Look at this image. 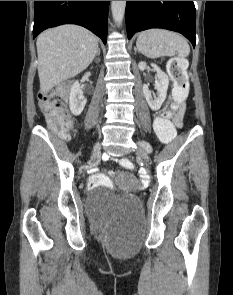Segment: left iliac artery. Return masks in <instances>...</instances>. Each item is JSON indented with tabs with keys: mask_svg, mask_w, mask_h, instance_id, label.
<instances>
[{
	"mask_svg": "<svg viewBox=\"0 0 233 295\" xmlns=\"http://www.w3.org/2000/svg\"><path fill=\"white\" fill-rule=\"evenodd\" d=\"M142 147L148 152H151L153 148L146 140L143 142Z\"/></svg>",
	"mask_w": 233,
	"mask_h": 295,
	"instance_id": "1",
	"label": "left iliac artery"
}]
</instances>
